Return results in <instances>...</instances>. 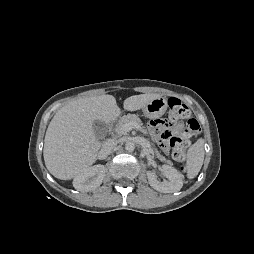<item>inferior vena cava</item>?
<instances>
[{
  "mask_svg": "<svg viewBox=\"0 0 254 254\" xmlns=\"http://www.w3.org/2000/svg\"><path fill=\"white\" fill-rule=\"evenodd\" d=\"M117 144H118V142L115 139L106 140L103 143L102 148H101L102 155L107 156V155L111 154L116 149Z\"/></svg>",
  "mask_w": 254,
  "mask_h": 254,
  "instance_id": "602c4592",
  "label": "inferior vena cava"
}]
</instances>
